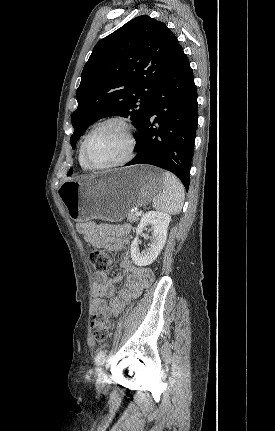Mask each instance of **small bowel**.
<instances>
[{
  "mask_svg": "<svg viewBox=\"0 0 275 431\" xmlns=\"http://www.w3.org/2000/svg\"><path fill=\"white\" fill-rule=\"evenodd\" d=\"M76 229L83 235L85 241L95 248L122 253L120 272L113 277H108L105 272H96L93 284L94 299L91 311L94 314L114 315L136 297L143 287L149 285L153 274L148 269L133 265L130 260L128 238L131 226L129 224L79 222L76 224ZM122 280H125L126 288L117 289Z\"/></svg>",
  "mask_w": 275,
  "mask_h": 431,
  "instance_id": "small-bowel-1",
  "label": "small bowel"
}]
</instances>
